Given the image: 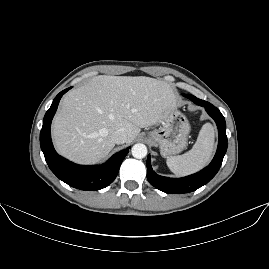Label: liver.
Wrapping results in <instances>:
<instances>
[{
  "label": "liver",
  "instance_id": "liver-1",
  "mask_svg": "<svg viewBox=\"0 0 269 269\" xmlns=\"http://www.w3.org/2000/svg\"><path fill=\"white\" fill-rule=\"evenodd\" d=\"M177 108L174 90L165 81L145 76H95L64 97L53 120L58 153L79 164L105 159L114 148L118 129L131 143L141 128L157 124Z\"/></svg>",
  "mask_w": 269,
  "mask_h": 269
}]
</instances>
